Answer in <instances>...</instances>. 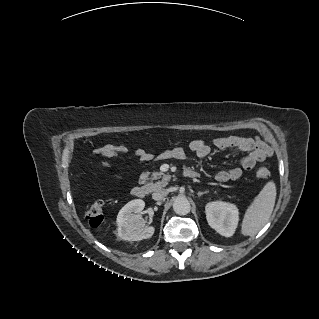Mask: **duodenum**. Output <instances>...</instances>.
Here are the masks:
<instances>
[{
  "instance_id": "410a0bca",
  "label": "duodenum",
  "mask_w": 319,
  "mask_h": 319,
  "mask_svg": "<svg viewBox=\"0 0 319 319\" xmlns=\"http://www.w3.org/2000/svg\"><path fill=\"white\" fill-rule=\"evenodd\" d=\"M183 175L188 178H196L198 173L194 170H186ZM132 195L136 198H144L146 195V188L143 185H137L133 187Z\"/></svg>"
}]
</instances>
